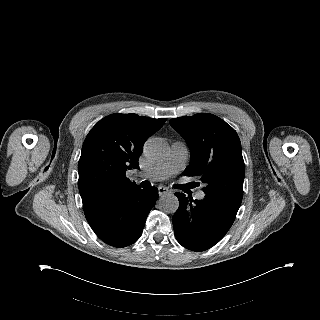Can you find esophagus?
<instances>
[{
	"label": "esophagus",
	"mask_w": 320,
	"mask_h": 320,
	"mask_svg": "<svg viewBox=\"0 0 320 320\" xmlns=\"http://www.w3.org/2000/svg\"><path fill=\"white\" fill-rule=\"evenodd\" d=\"M169 192H170V190L167 187H164V186H159L158 187L159 196H162V195L167 194Z\"/></svg>",
	"instance_id": "34e87169"
}]
</instances>
